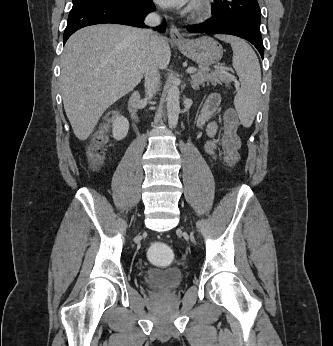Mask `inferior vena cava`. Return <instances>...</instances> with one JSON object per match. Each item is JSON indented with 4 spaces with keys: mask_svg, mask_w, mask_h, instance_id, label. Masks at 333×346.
Listing matches in <instances>:
<instances>
[{
    "mask_svg": "<svg viewBox=\"0 0 333 346\" xmlns=\"http://www.w3.org/2000/svg\"><path fill=\"white\" fill-rule=\"evenodd\" d=\"M144 22L148 26H157L160 24V17L156 13H150L145 17ZM144 33L149 44V51L144 65L145 93L146 99L149 100L153 97V95L159 88L160 75L154 57V50L156 48V35H154L151 30H144Z\"/></svg>",
    "mask_w": 333,
    "mask_h": 346,
    "instance_id": "inferior-vena-cava-1",
    "label": "inferior vena cava"
}]
</instances>
